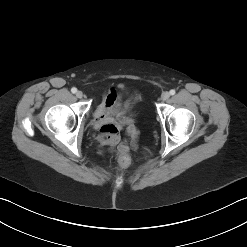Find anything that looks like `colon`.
<instances>
[{"instance_id": "5ec220e1", "label": "colon", "mask_w": 247, "mask_h": 247, "mask_svg": "<svg viewBox=\"0 0 247 247\" xmlns=\"http://www.w3.org/2000/svg\"><path fill=\"white\" fill-rule=\"evenodd\" d=\"M130 163V157L126 153L119 154L117 157L116 169L118 171H123Z\"/></svg>"}]
</instances>
